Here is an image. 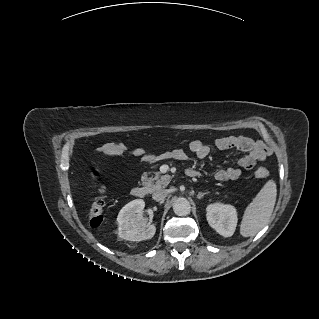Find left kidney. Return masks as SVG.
Returning <instances> with one entry per match:
<instances>
[{"mask_svg": "<svg viewBox=\"0 0 319 319\" xmlns=\"http://www.w3.org/2000/svg\"><path fill=\"white\" fill-rule=\"evenodd\" d=\"M206 211L207 221L217 233L224 237L233 235L238 221L237 210L234 206L216 202L209 204Z\"/></svg>", "mask_w": 319, "mask_h": 319, "instance_id": "obj_1", "label": "left kidney"}]
</instances>
